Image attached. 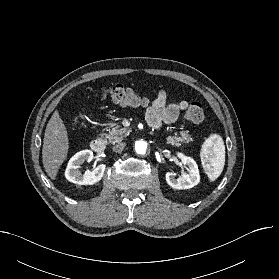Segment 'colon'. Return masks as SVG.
<instances>
[{"instance_id": "1", "label": "colon", "mask_w": 279, "mask_h": 279, "mask_svg": "<svg viewBox=\"0 0 279 279\" xmlns=\"http://www.w3.org/2000/svg\"><path fill=\"white\" fill-rule=\"evenodd\" d=\"M102 97L125 106L142 107L148 104L147 98L138 95L123 85L104 88L102 90ZM185 116L187 120L197 124L203 123L205 120L204 110L198 102H193L189 105Z\"/></svg>"}]
</instances>
